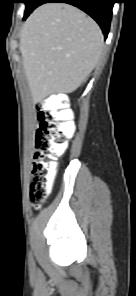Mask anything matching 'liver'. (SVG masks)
<instances>
[{
	"label": "liver",
	"instance_id": "6515ba94",
	"mask_svg": "<svg viewBox=\"0 0 136 296\" xmlns=\"http://www.w3.org/2000/svg\"><path fill=\"white\" fill-rule=\"evenodd\" d=\"M104 39L97 23L64 3L37 7L24 23L20 52L34 102L76 90L97 65Z\"/></svg>",
	"mask_w": 136,
	"mask_h": 296
}]
</instances>
